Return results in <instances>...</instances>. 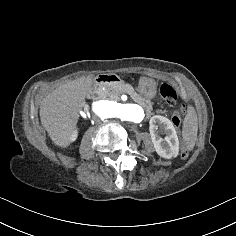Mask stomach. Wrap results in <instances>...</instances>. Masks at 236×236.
<instances>
[{"label":"stomach","mask_w":236,"mask_h":236,"mask_svg":"<svg viewBox=\"0 0 236 236\" xmlns=\"http://www.w3.org/2000/svg\"><path fill=\"white\" fill-rule=\"evenodd\" d=\"M157 81L151 77H140L138 90L144 98L153 99L157 95Z\"/></svg>","instance_id":"stomach-1"}]
</instances>
